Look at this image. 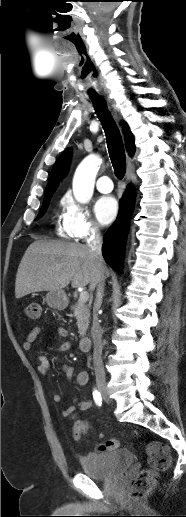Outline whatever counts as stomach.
Here are the masks:
<instances>
[{"label":"stomach","mask_w":186,"mask_h":517,"mask_svg":"<svg viewBox=\"0 0 186 517\" xmlns=\"http://www.w3.org/2000/svg\"><path fill=\"white\" fill-rule=\"evenodd\" d=\"M47 304L54 309L63 310L67 307L68 299L64 290H53L46 294Z\"/></svg>","instance_id":"obj_1"}]
</instances>
